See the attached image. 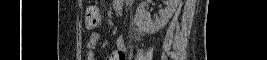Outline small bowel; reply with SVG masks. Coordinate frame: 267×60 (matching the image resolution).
<instances>
[{"label":"small bowel","mask_w":267,"mask_h":60,"mask_svg":"<svg viewBox=\"0 0 267 60\" xmlns=\"http://www.w3.org/2000/svg\"><path fill=\"white\" fill-rule=\"evenodd\" d=\"M124 5V1L117 0L114 2L113 6L114 9H117L118 7L122 9ZM101 39V33L100 32H92L89 37L88 41V59L93 60L94 59V50L99 43ZM117 50L113 51L109 57L108 60H126V48L123 37H118L117 39Z\"/></svg>","instance_id":"small-bowel-1"}]
</instances>
